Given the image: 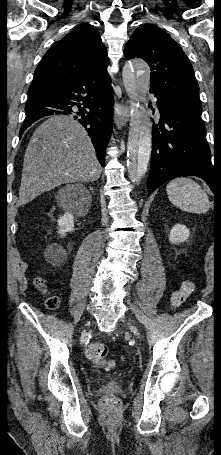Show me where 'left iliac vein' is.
Listing matches in <instances>:
<instances>
[{"label":"left iliac vein","instance_id":"4c4485c4","mask_svg":"<svg viewBox=\"0 0 221 455\" xmlns=\"http://www.w3.org/2000/svg\"><path fill=\"white\" fill-rule=\"evenodd\" d=\"M128 326L136 337H140V333L138 332V329L134 325L128 324Z\"/></svg>","mask_w":221,"mask_h":455}]
</instances>
